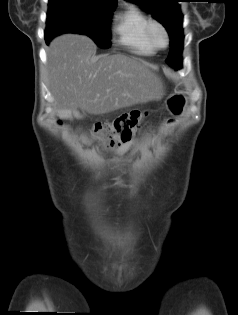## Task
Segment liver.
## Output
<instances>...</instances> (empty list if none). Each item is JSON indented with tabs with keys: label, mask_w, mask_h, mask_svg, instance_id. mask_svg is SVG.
I'll return each mask as SVG.
<instances>
[{
	"label": "liver",
	"mask_w": 238,
	"mask_h": 315,
	"mask_svg": "<svg viewBox=\"0 0 238 315\" xmlns=\"http://www.w3.org/2000/svg\"><path fill=\"white\" fill-rule=\"evenodd\" d=\"M49 89L61 118L79 117L77 109L99 115L156 100L160 79L147 63L123 54L96 55L93 41L67 34L48 51Z\"/></svg>",
	"instance_id": "1"
}]
</instances>
